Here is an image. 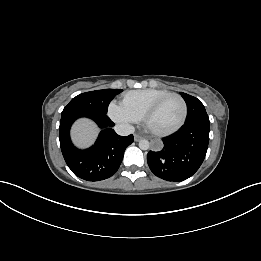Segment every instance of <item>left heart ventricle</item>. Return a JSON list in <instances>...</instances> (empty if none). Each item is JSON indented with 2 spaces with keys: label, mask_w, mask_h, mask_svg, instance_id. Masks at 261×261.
<instances>
[{
  "label": "left heart ventricle",
  "mask_w": 261,
  "mask_h": 261,
  "mask_svg": "<svg viewBox=\"0 0 261 261\" xmlns=\"http://www.w3.org/2000/svg\"><path fill=\"white\" fill-rule=\"evenodd\" d=\"M182 115V105L177 98H169L149 119L152 129L164 131L173 128Z\"/></svg>",
  "instance_id": "obj_1"
}]
</instances>
